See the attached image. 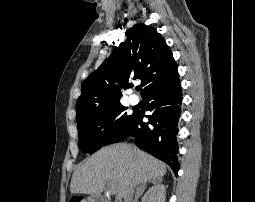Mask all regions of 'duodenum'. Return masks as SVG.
Here are the masks:
<instances>
[{"instance_id":"410a0bca","label":"duodenum","mask_w":255,"mask_h":202,"mask_svg":"<svg viewBox=\"0 0 255 202\" xmlns=\"http://www.w3.org/2000/svg\"><path fill=\"white\" fill-rule=\"evenodd\" d=\"M89 199L90 202H107V200L103 196L97 194L91 195Z\"/></svg>"}]
</instances>
